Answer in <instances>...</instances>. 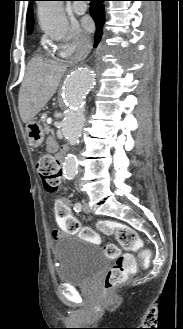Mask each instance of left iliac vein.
I'll return each instance as SVG.
<instances>
[{"label":"left iliac vein","mask_w":183,"mask_h":329,"mask_svg":"<svg viewBox=\"0 0 183 329\" xmlns=\"http://www.w3.org/2000/svg\"><path fill=\"white\" fill-rule=\"evenodd\" d=\"M83 211L85 212V213H90L91 212V209H90V206H89V204H88V202H83Z\"/></svg>","instance_id":"left-iliac-vein-1"}]
</instances>
